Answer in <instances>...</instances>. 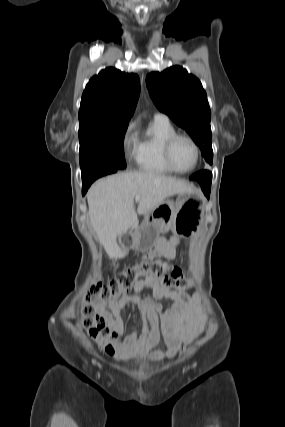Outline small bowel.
Masks as SVG:
<instances>
[{
	"mask_svg": "<svg viewBox=\"0 0 285 427\" xmlns=\"http://www.w3.org/2000/svg\"><path fill=\"white\" fill-rule=\"evenodd\" d=\"M178 243L176 236L159 237L155 249L144 259L151 260L159 256L173 259L176 256ZM147 287L152 289L153 298L143 299L140 293ZM163 298H170L173 301L171 309H164L155 301ZM200 302L198 293L190 296L183 289L164 287L156 279L140 278L134 282L132 293H122L109 303L95 300L93 306L104 318L107 326L121 336L125 331L123 309L128 304L135 305L143 321L141 335L138 336L136 330H132L122 342H115L107 349L110 353L116 351L117 356L122 360L153 363L172 358L181 346L191 343L197 337L203 324ZM190 308L200 315L199 319L183 325L179 322V318ZM161 336L167 342V349L152 351L159 344Z\"/></svg>",
	"mask_w": 285,
	"mask_h": 427,
	"instance_id": "c3829d8e",
	"label": "small bowel"
}]
</instances>
